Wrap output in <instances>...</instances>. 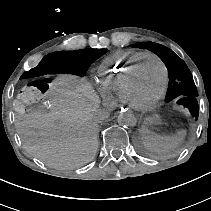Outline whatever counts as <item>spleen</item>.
<instances>
[{"label": "spleen", "mask_w": 211, "mask_h": 211, "mask_svg": "<svg viewBox=\"0 0 211 211\" xmlns=\"http://www.w3.org/2000/svg\"><path fill=\"white\" fill-rule=\"evenodd\" d=\"M140 132L142 133V142L144 147L152 152L162 153L173 147L175 144L183 140L186 132L181 130L178 132V136H163L151 132L143 127Z\"/></svg>", "instance_id": "3e777b00"}]
</instances>
